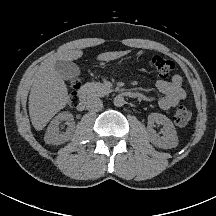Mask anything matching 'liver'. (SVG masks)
I'll list each match as a JSON object with an SVG mask.
<instances>
[{
	"instance_id": "liver-1",
	"label": "liver",
	"mask_w": 216,
	"mask_h": 216,
	"mask_svg": "<svg viewBox=\"0 0 216 216\" xmlns=\"http://www.w3.org/2000/svg\"><path fill=\"white\" fill-rule=\"evenodd\" d=\"M128 52L101 53L97 56V60H115ZM82 55L83 51L81 50L61 52L46 59L40 65L29 96V115L32 125L37 131L42 130L53 116L67 105L70 98L63 78L54 69L56 61L76 60Z\"/></svg>"
}]
</instances>
